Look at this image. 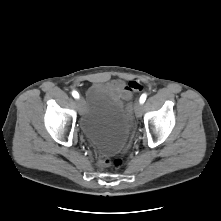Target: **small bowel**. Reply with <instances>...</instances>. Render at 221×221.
Masks as SVG:
<instances>
[{"label": "small bowel", "mask_w": 221, "mask_h": 221, "mask_svg": "<svg viewBox=\"0 0 221 221\" xmlns=\"http://www.w3.org/2000/svg\"><path fill=\"white\" fill-rule=\"evenodd\" d=\"M109 88L121 99L128 100L130 95L125 91V84L121 80H112L108 83Z\"/></svg>", "instance_id": "c3829d8e"}]
</instances>
